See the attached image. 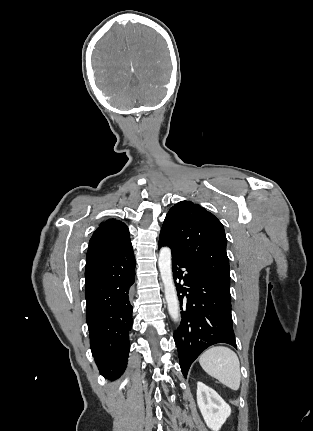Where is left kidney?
Wrapping results in <instances>:
<instances>
[{
  "label": "left kidney",
  "mask_w": 313,
  "mask_h": 431,
  "mask_svg": "<svg viewBox=\"0 0 313 431\" xmlns=\"http://www.w3.org/2000/svg\"><path fill=\"white\" fill-rule=\"evenodd\" d=\"M197 404L206 425L219 431L231 414L230 406L212 388L202 382L197 383Z\"/></svg>",
  "instance_id": "obj_1"
}]
</instances>
